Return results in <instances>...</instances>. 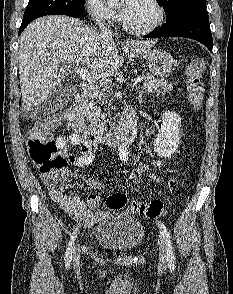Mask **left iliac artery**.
<instances>
[{"label": "left iliac artery", "mask_w": 233, "mask_h": 294, "mask_svg": "<svg viewBox=\"0 0 233 294\" xmlns=\"http://www.w3.org/2000/svg\"><path fill=\"white\" fill-rule=\"evenodd\" d=\"M158 227L162 232V235H163V238L165 241V245L167 248V261L169 263V266L174 268L175 267V255H174L172 243L170 240V234L162 222H158Z\"/></svg>", "instance_id": "44dca946"}]
</instances>
